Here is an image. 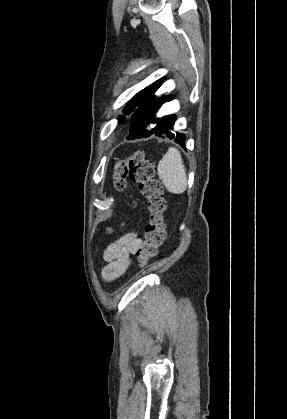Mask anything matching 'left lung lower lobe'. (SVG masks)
<instances>
[{
  "label": "left lung lower lobe",
  "instance_id": "0a47b994",
  "mask_svg": "<svg viewBox=\"0 0 287 419\" xmlns=\"http://www.w3.org/2000/svg\"><path fill=\"white\" fill-rule=\"evenodd\" d=\"M173 98V95L153 98L138 107L131 116L130 134L126 139L134 140L155 135L162 138L174 139L176 143L185 147V135L178 132L175 134L170 131L173 128L177 116L173 114L167 115L159 121H157L155 117V113L162 106V104L167 101H171ZM155 122H157V125L150 128L149 125L154 124Z\"/></svg>",
  "mask_w": 287,
  "mask_h": 419
}]
</instances>
